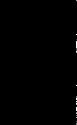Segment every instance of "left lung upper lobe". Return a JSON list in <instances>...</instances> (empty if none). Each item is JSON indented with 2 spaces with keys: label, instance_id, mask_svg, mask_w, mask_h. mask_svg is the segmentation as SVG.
Segmentation results:
<instances>
[{
  "label": "left lung upper lobe",
  "instance_id": "left-lung-upper-lobe-1",
  "mask_svg": "<svg viewBox=\"0 0 77 125\" xmlns=\"http://www.w3.org/2000/svg\"><path fill=\"white\" fill-rule=\"evenodd\" d=\"M74 9L70 8V7H65L62 10V28L64 30V41L67 43L70 39H72V35L71 32H75L76 31V18H75V14L73 13ZM64 23V24H63Z\"/></svg>",
  "mask_w": 77,
  "mask_h": 125
}]
</instances>
